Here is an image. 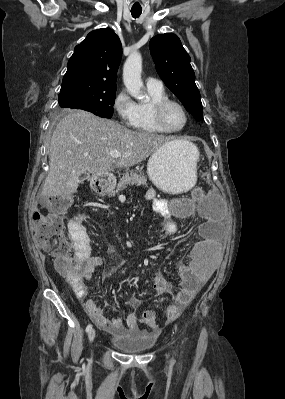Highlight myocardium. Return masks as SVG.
<instances>
[{
	"label": "myocardium",
	"mask_w": 285,
	"mask_h": 399,
	"mask_svg": "<svg viewBox=\"0 0 285 399\" xmlns=\"http://www.w3.org/2000/svg\"><path fill=\"white\" fill-rule=\"evenodd\" d=\"M171 105L177 106L181 110V112L184 116V123L180 127H177V128L171 127L166 122L165 114H166L167 109ZM152 113H153V117H154V121H155L156 125L160 129L165 130L167 132L180 131L186 126V124L188 122V114H187L185 107L181 103H179L178 101H175L173 99L167 98V99H163L161 101L156 102L152 107Z\"/></svg>",
	"instance_id": "f54148a6"
}]
</instances>
